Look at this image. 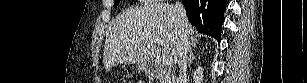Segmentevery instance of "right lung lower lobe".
<instances>
[{
	"mask_svg": "<svg viewBox=\"0 0 307 83\" xmlns=\"http://www.w3.org/2000/svg\"><path fill=\"white\" fill-rule=\"evenodd\" d=\"M188 20L196 29L220 41L227 0H182Z\"/></svg>",
	"mask_w": 307,
	"mask_h": 83,
	"instance_id": "1",
	"label": "right lung lower lobe"
}]
</instances>
